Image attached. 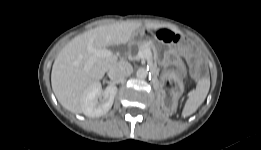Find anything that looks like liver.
<instances>
[{
	"mask_svg": "<svg viewBox=\"0 0 261 150\" xmlns=\"http://www.w3.org/2000/svg\"><path fill=\"white\" fill-rule=\"evenodd\" d=\"M147 30L163 27L157 23L144 25ZM140 22L124 21L99 26L73 38L57 55L51 72V85L59 103L72 113H83V98L86 90L101 80L105 73L117 64V57H96L89 65L92 54L87 47L90 43L96 48L129 42Z\"/></svg>",
	"mask_w": 261,
	"mask_h": 150,
	"instance_id": "1",
	"label": "liver"
}]
</instances>
